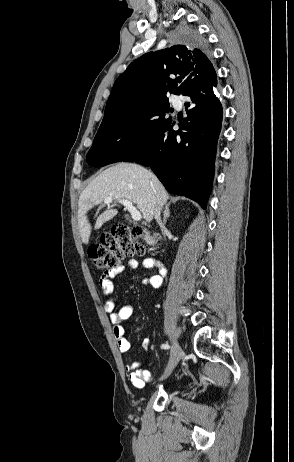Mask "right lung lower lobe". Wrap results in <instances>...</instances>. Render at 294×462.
<instances>
[{
	"instance_id": "98d812e1",
	"label": "right lung lower lobe",
	"mask_w": 294,
	"mask_h": 462,
	"mask_svg": "<svg viewBox=\"0 0 294 462\" xmlns=\"http://www.w3.org/2000/svg\"><path fill=\"white\" fill-rule=\"evenodd\" d=\"M216 94V76L189 88L182 94L190 96L191 102L186 104L187 117L179 131L172 129L170 118L122 161L151 166L168 191L189 197L205 208L222 121ZM88 163L100 167L98 160Z\"/></svg>"
}]
</instances>
